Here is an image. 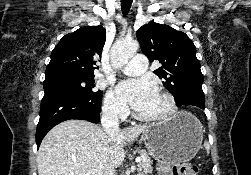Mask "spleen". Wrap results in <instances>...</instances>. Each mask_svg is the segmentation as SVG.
<instances>
[{"mask_svg": "<svg viewBox=\"0 0 251 175\" xmlns=\"http://www.w3.org/2000/svg\"><path fill=\"white\" fill-rule=\"evenodd\" d=\"M203 145H204L207 153H209V147H210V145H209L208 141H204Z\"/></svg>", "mask_w": 251, "mask_h": 175, "instance_id": "1", "label": "spleen"}]
</instances>
